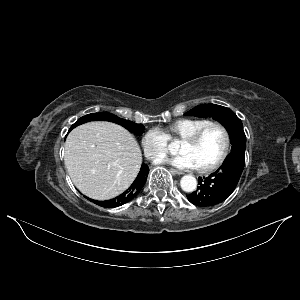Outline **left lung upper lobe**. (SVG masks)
<instances>
[{
	"mask_svg": "<svg viewBox=\"0 0 300 300\" xmlns=\"http://www.w3.org/2000/svg\"><path fill=\"white\" fill-rule=\"evenodd\" d=\"M185 115L212 117L219 121L229 133L232 144L231 153L239 152L245 154L246 136L243 124L231 109L216 104H204L191 109Z\"/></svg>",
	"mask_w": 300,
	"mask_h": 300,
	"instance_id": "1",
	"label": "left lung upper lobe"
}]
</instances>
